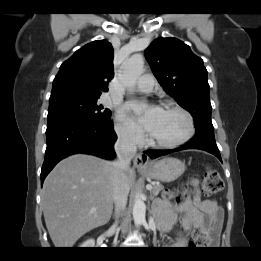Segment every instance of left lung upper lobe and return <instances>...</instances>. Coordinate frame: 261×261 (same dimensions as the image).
Wrapping results in <instances>:
<instances>
[{"label":"left lung upper lobe","mask_w":261,"mask_h":261,"mask_svg":"<svg viewBox=\"0 0 261 261\" xmlns=\"http://www.w3.org/2000/svg\"><path fill=\"white\" fill-rule=\"evenodd\" d=\"M145 55L166 93L193 116L196 132L214 131L210 87L203 60L176 38L155 39Z\"/></svg>","instance_id":"1"}]
</instances>
